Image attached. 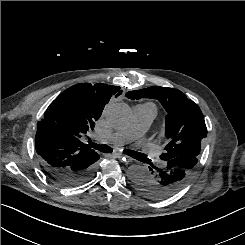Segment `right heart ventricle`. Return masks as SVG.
Returning a JSON list of instances; mask_svg holds the SVG:
<instances>
[{
  "mask_svg": "<svg viewBox=\"0 0 245 245\" xmlns=\"http://www.w3.org/2000/svg\"><path fill=\"white\" fill-rule=\"evenodd\" d=\"M147 104L154 106L152 103H147Z\"/></svg>",
  "mask_w": 245,
  "mask_h": 245,
  "instance_id": "e07e8e85",
  "label": "right heart ventricle"
}]
</instances>
